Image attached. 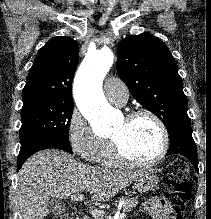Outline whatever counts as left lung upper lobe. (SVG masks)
<instances>
[{
    "instance_id": "5c2ea615",
    "label": "left lung upper lobe",
    "mask_w": 211,
    "mask_h": 219,
    "mask_svg": "<svg viewBox=\"0 0 211 219\" xmlns=\"http://www.w3.org/2000/svg\"><path fill=\"white\" fill-rule=\"evenodd\" d=\"M117 72L132 96L165 124L169 136L191 126L178 67L167 46L148 33L118 44Z\"/></svg>"
}]
</instances>
